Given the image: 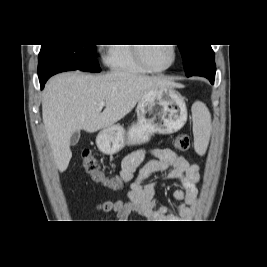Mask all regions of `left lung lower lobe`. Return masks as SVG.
Returning a JSON list of instances; mask_svg holds the SVG:
<instances>
[{
    "instance_id": "obj_1",
    "label": "left lung lower lobe",
    "mask_w": 267,
    "mask_h": 267,
    "mask_svg": "<svg viewBox=\"0 0 267 267\" xmlns=\"http://www.w3.org/2000/svg\"><path fill=\"white\" fill-rule=\"evenodd\" d=\"M216 66L215 63H208L201 67H199L191 76H203L209 79V81L213 84L215 79Z\"/></svg>"
}]
</instances>
